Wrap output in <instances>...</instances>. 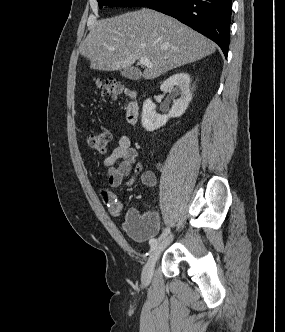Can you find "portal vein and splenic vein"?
I'll return each instance as SVG.
<instances>
[{"label": "portal vein and splenic vein", "mask_w": 285, "mask_h": 332, "mask_svg": "<svg viewBox=\"0 0 285 332\" xmlns=\"http://www.w3.org/2000/svg\"><path fill=\"white\" fill-rule=\"evenodd\" d=\"M111 50H114L113 48H111ZM140 64L147 66V67H153V64L147 59V58H140Z\"/></svg>", "instance_id": "1"}]
</instances>
